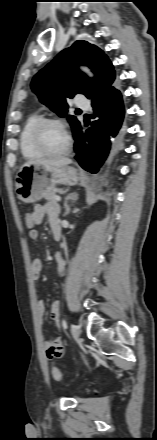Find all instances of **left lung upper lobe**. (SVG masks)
Masks as SVG:
<instances>
[{"label":"left lung upper lobe","instance_id":"1","mask_svg":"<svg viewBox=\"0 0 157 440\" xmlns=\"http://www.w3.org/2000/svg\"><path fill=\"white\" fill-rule=\"evenodd\" d=\"M80 64L92 69L94 81L78 70ZM114 80V67L104 52L95 45L78 40L40 70L34 76L31 87L42 103L60 117L67 118L73 132L80 122L75 116L67 115L66 98L84 94L93 101L112 88Z\"/></svg>","mask_w":157,"mask_h":440}]
</instances>
